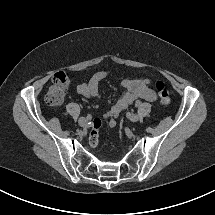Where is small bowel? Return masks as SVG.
Returning a JSON list of instances; mask_svg holds the SVG:
<instances>
[{
	"mask_svg": "<svg viewBox=\"0 0 215 215\" xmlns=\"http://www.w3.org/2000/svg\"><path fill=\"white\" fill-rule=\"evenodd\" d=\"M108 76L106 71H98L94 73L91 78L84 83H80L76 87L78 94L86 98H100L99 84ZM124 89L123 94L113 105V107L106 113V118H110V127L116 126L114 120L122 110L127 108L134 100L144 99L153 102L156 100V93L149 88L148 80L144 78L138 79H124L121 82Z\"/></svg>",
	"mask_w": 215,
	"mask_h": 215,
	"instance_id": "1",
	"label": "small bowel"
}]
</instances>
